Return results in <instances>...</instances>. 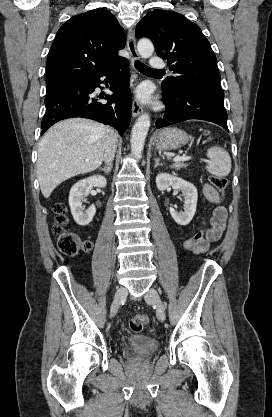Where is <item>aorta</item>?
<instances>
[{"instance_id": "obj_1", "label": "aorta", "mask_w": 272, "mask_h": 417, "mask_svg": "<svg viewBox=\"0 0 272 417\" xmlns=\"http://www.w3.org/2000/svg\"><path fill=\"white\" fill-rule=\"evenodd\" d=\"M137 49L141 57L148 58L154 52V46L148 39H141L137 44ZM150 127V116L142 114L135 122L131 132V151L136 158H141L145 139Z\"/></svg>"}]
</instances>
